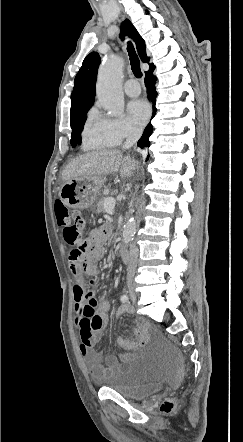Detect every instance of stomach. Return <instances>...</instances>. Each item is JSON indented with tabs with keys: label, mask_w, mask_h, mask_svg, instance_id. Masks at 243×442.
Returning <instances> with one entry per match:
<instances>
[{
	"label": "stomach",
	"mask_w": 243,
	"mask_h": 442,
	"mask_svg": "<svg viewBox=\"0 0 243 442\" xmlns=\"http://www.w3.org/2000/svg\"><path fill=\"white\" fill-rule=\"evenodd\" d=\"M105 181V176L72 178L62 185L59 196L70 208L86 209L93 205Z\"/></svg>",
	"instance_id": "stomach-1"
}]
</instances>
